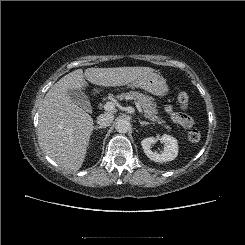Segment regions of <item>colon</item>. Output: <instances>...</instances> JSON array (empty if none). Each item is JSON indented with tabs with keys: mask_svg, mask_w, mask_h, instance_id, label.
Segmentation results:
<instances>
[{
	"mask_svg": "<svg viewBox=\"0 0 245 245\" xmlns=\"http://www.w3.org/2000/svg\"><path fill=\"white\" fill-rule=\"evenodd\" d=\"M178 102H179L180 107L183 110L189 109L190 98H189L188 93L185 91L180 92L178 95ZM188 139H189V141H191L193 143L198 142L201 139V134L198 130L193 129V130L189 131Z\"/></svg>",
	"mask_w": 245,
	"mask_h": 245,
	"instance_id": "obj_1",
	"label": "colon"
}]
</instances>
